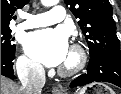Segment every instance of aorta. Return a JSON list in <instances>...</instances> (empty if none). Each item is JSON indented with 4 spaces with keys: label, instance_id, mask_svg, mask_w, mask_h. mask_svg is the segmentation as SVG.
Segmentation results:
<instances>
[{
    "label": "aorta",
    "instance_id": "1",
    "mask_svg": "<svg viewBox=\"0 0 121 94\" xmlns=\"http://www.w3.org/2000/svg\"><path fill=\"white\" fill-rule=\"evenodd\" d=\"M59 0H41L43 6H53L57 4Z\"/></svg>",
    "mask_w": 121,
    "mask_h": 94
}]
</instances>
